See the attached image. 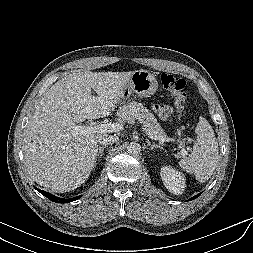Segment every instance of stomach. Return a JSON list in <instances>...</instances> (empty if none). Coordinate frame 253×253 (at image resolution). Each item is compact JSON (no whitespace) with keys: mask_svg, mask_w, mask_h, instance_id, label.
Returning a JSON list of instances; mask_svg holds the SVG:
<instances>
[{"mask_svg":"<svg viewBox=\"0 0 253 253\" xmlns=\"http://www.w3.org/2000/svg\"><path fill=\"white\" fill-rule=\"evenodd\" d=\"M158 89V82L154 74L147 70H136L127 82L121 100L130 99L132 94L141 97H149Z\"/></svg>","mask_w":253,"mask_h":253,"instance_id":"obj_1","label":"stomach"}]
</instances>
